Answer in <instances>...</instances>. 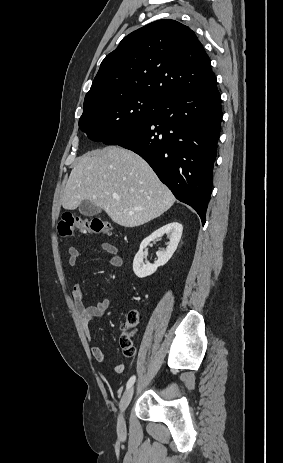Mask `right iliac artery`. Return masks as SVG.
I'll return each mask as SVG.
<instances>
[{"mask_svg": "<svg viewBox=\"0 0 283 463\" xmlns=\"http://www.w3.org/2000/svg\"><path fill=\"white\" fill-rule=\"evenodd\" d=\"M135 379H136V377H135V376H132V377L128 380L127 385H126V388H127V389H129V388L134 384Z\"/></svg>", "mask_w": 283, "mask_h": 463, "instance_id": "obj_1", "label": "right iliac artery"}]
</instances>
